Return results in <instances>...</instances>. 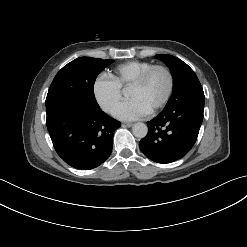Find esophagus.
Returning a JSON list of instances; mask_svg holds the SVG:
<instances>
[{"label": "esophagus", "instance_id": "34e87169", "mask_svg": "<svg viewBox=\"0 0 247 247\" xmlns=\"http://www.w3.org/2000/svg\"><path fill=\"white\" fill-rule=\"evenodd\" d=\"M122 126L132 127L133 126V123H122Z\"/></svg>", "mask_w": 247, "mask_h": 247}]
</instances>
